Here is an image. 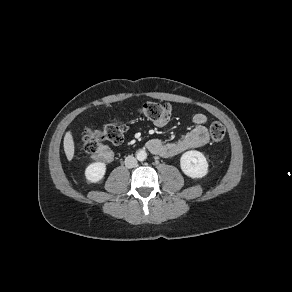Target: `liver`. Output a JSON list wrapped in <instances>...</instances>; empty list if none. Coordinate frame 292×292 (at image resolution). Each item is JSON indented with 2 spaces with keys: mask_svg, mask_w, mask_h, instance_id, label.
<instances>
[{
  "mask_svg": "<svg viewBox=\"0 0 292 292\" xmlns=\"http://www.w3.org/2000/svg\"><path fill=\"white\" fill-rule=\"evenodd\" d=\"M63 144L66 157L69 161H71L74 156L75 147L73 137L70 131L66 132Z\"/></svg>",
  "mask_w": 292,
  "mask_h": 292,
  "instance_id": "6515ba94",
  "label": "liver"
}]
</instances>
